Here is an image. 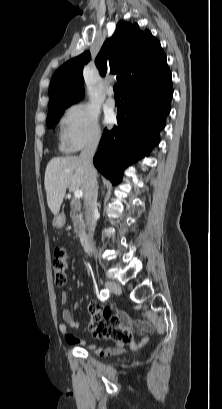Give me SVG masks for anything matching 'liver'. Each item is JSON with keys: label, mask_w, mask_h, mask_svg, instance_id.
Returning a JSON list of instances; mask_svg holds the SVG:
<instances>
[{"label": "liver", "mask_w": 222, "mask_h": 409, "mask_svg": "<svg viewBox=\"0 0 222 409\" xmlns=\"http://www.w3.org/2000/svg\"><path fill=\"white\" fill-rule=\"evenodd\" d=\"M84 166L77 156L54 157L45 170L47 203L54 215L59 213L67 188L72 191L83 186Z\"/></svg>", "instance_id": "6515ba94"}]
</instances>
